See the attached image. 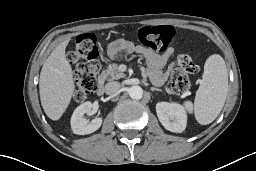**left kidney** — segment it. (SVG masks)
Listing matches in <instances>:
<instances>
[{"label":"left kidney","instance_id":"1","mask_svg":"<svg viewBox=\"0 0 256 171\" xmlns=\"http://www.w3.org/2000/svg\"><path fill=\"white\" fill-rule=\"evenodd\" d=\"M159 121L165 129L181 133L187 124V115L184 107L177 103L159 102L156 104Z\"/></svg>","mask_w":256,"mask_h":171}]
</instances>
